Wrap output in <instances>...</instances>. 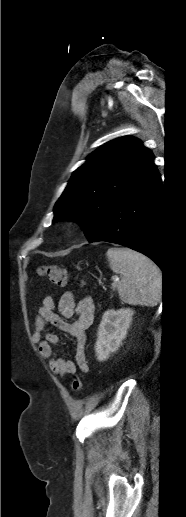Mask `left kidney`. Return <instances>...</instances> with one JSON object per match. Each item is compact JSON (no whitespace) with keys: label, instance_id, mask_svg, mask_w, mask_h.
Masks as SVG:
<instances>
[{"label":"left kidney","instance_id":"obj_1","mask_svg":"<svg viewBox=\"0 0 186 517\" xmlns=\"http://www.w3.org/2000/svg\"><path fill=\"white\" fill-rule=\"evenodd\" d=\"M133 314L134 311L130 308L105 311L98 328L95 344L98 361L107 360L111 353L118 350L122 341L126 338Z\"/></svg>","mask_w":186,"mask_h":517}]
</instances>
